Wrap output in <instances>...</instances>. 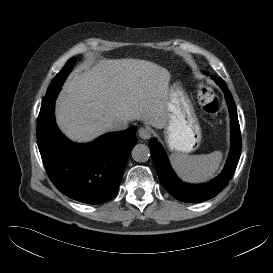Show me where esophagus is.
<instances>
[{"label":"esophagus","mask_w":273,"mask_h":273,"mask_svg":"<svg viewBox=\"0 0 273 273\" xmlns=\"http://www.w3.org/2000/svg\"><path fill=\"white\" fill-rule=\"evenodd\" d=\"M138 135L140 138L147 140L151 137V131L148 128L141 127L138 130Z\"/></svg>","instance_id":"obj_1"}]
</instances>
